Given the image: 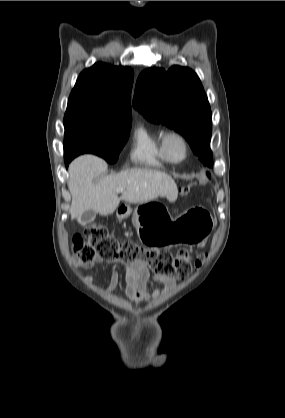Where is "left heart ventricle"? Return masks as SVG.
Instances as JSON below:
<instances>
[{
  "mask_svg": "<svg viewBox=\"0 0 285 418\" xmlns=\"http://www.w3.org/2000/svg\"><path fill=\"white\" fill-rule=\"evenodd\" d=\"M169 149L173 157L180 158L183 154V146L177 139L169 142Z\"/></svg>",
  "mask_w": 285,
  "mask_h": 418,
  "instance_id": "left-heart-ventricle-1",
  "label": "left heart ventricle"
}]
</instances>
